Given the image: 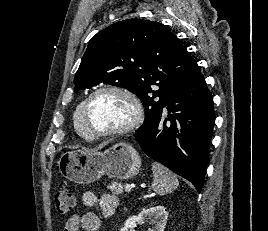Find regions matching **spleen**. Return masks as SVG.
<instances>
[{
    "label": "spleen",
    "instance_id": "spleen-1",
    "mask_svg": "<svg viewBox=\"0 0 268 231\" xmlns=\"http://www.w3.org/2000/svg\"><path fill=\"white\" fill-rule=\"evenodd\" d=\"M153 183L151 188L159 195H165L175 190L179 181L177 176L158 162L152 163Z\"/></svg>",
    "mask_w": 268,
    "mask_h": 231
}]
</instances>
